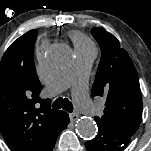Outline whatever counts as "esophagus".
Listing matches in <instances>:
<instances>
[{
  "label": "esophagus",
  "mask_w": 151,
  "mask_h": 151,
  "mask_svg": "<svg viewBox=\"0 0 151 151\" xmlns=\"http://www.w3.org/2000/svg\"><path fill=\"white\" fill-rule=\"evenodd\" d=\"M77 119H78V114H76V113L70 114L71 122H75Z\"/></svg>",
  "instance_id": "esophagus-1"
}]
</instances>
